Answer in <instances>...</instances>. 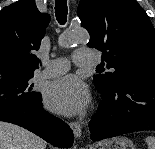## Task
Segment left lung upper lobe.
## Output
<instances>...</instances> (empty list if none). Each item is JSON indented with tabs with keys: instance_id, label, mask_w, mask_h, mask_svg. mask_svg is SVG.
<instances>
[{
	"instance_id": "5c2ea615",
	"label": "left lung upper lobe",
	"mask_w": 155,
	"mask_h": 149,
	"mask_svg": "<svg viewBox=\"0 0 155 149\" xmlns=\"http://www.w3.org/2000/svg\"><path fill=\"white\" fill-rule=\"evenodd\" d=\"M77 13L90 34L88 46L102 51L113 69L95 75V84L114 87L133 75L155 73V30L135 0H81Z\"/></svg>"
}]
</instances>
